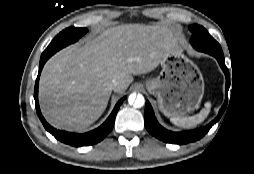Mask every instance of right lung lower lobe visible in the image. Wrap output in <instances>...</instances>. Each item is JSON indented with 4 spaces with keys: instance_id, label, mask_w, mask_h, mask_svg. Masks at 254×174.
Masks as SVG:
<instances>
[{
    "instance_id": "obj_1",
    "label": "right lung lower lobe",
    "mask_w": 254,
    "mask_h": 174,
    "mask_svg": "<svg viewBox=\"0 0 254 174\" xmlns=\"http://www.w3.org/2000/svg\"><path fill=\"white\" fill-rule=\"evenodd\" d=\"M48 59H49L48 57H44V58L41 57L40 58L39 72H38V76L36 79L35 91H34V99H35V106H36L37 115H38L39 119L41 120L44 128L48 132H50L56 139H58L59 141L65 143V144L71 145V146H75V147L88 146V145H94V144L100 142L112 130L116 114H117L119 107L121 106V104L125 98H122L121 100H119V102L114 107V109H113L112 113L110 114V116L108 117V119L100 127L96 128L95 130H92V131L84 133V134H76V133H69V132H65V131L56 130L55 128H53L46 122V120L44 119V117L41 114L39 104H38L39 77H40V73H41V70H42L45 62Z\"/></svg>"
}]
</instances>
